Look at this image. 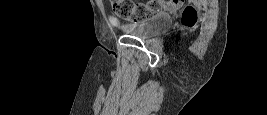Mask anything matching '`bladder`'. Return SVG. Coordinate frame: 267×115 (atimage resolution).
<instances>
[{"instance_id":"31cf9c89","label":"bladder","mask_w":267,"mask_h":115,"mask_svg":"<svg viewBox=\"0 0 267 115\" xmlns=\"http://www.w3.org/2000/svg\"><path fill=\"white\" fill-rule=\"evenodd\" d=\"M173 18L167 13L153 15L143 22L122 25L119 29L126 35L141 39L153 38L171 27Z\"/></svg>"}]
</instances>
